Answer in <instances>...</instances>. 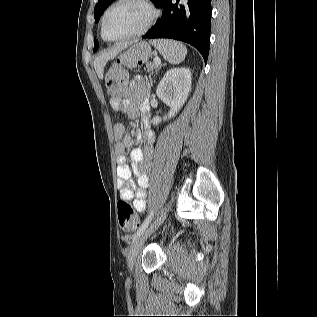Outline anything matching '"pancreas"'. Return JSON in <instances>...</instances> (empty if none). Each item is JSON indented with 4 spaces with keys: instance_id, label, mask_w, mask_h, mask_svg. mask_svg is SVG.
Returning <instances> with one entry per match:
<instances>
[{
    "instance_id": "1",
    "label": "pancreas",
    "mask_w": 317,
    "mask_h": 317,
    "mask_svg": "<svg viewBox=\"0 0 317 317\" xmlns=\"http://www.w3.org/2000/svg\"><path fill=\"white\" fill-rule=\"evenodd\" d=\"M157 68H158V66L155 64L154 61H149V62L146 64V71H147V72L154 73V71H157Z\"/></svg>"
}]
</instances>
